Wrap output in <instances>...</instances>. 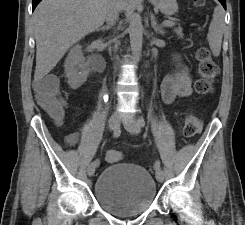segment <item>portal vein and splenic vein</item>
Instances as JSON below:
<instances>
[{
    "mask_svg": "<svg viewBox=\"0 0 245 225\" xmlns=\"http://www.w3.org/2000/svg\"><path fill=\"white\" fill-rule=\"evenodd\" d=\"M175 23L172 20H165L162 22V25L165 27H172Z\"/></svg>",
    "mask_w": 245,
    "mask_h": 225,
    "instance_id": "1",
    "label": "portal vein and splenic vein"
}]
</instances>
